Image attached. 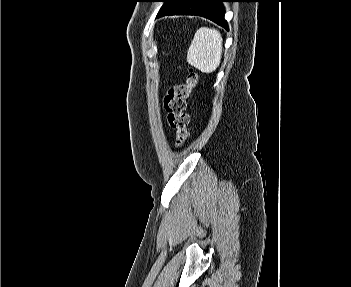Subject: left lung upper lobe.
Masks as SVG:
<instances>
[{
  "mask_svg": "<svg viewBox=\"0 0 351 287\" xmlns=\"http://www.w3.org/2000/svg\"><path fill=\"white\" fill-rule=\"evenodd\" d=\"M159 2H164L163 6L161 7V9H163L165 6H167L172 0H157ZM160 9V10H161Z\"/></svg>",
  "mask_w": 351,
  "mask_h": 287,
  "instance_id": "1",
  "label": "left lung upper lobe"
}]
</instances>
